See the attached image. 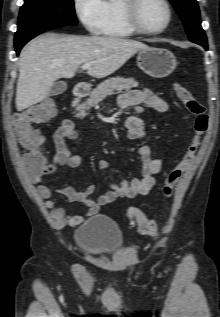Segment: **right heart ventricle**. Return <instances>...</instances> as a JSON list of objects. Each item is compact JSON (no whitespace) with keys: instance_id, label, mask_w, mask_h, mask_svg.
Segmentation results:
<instances>
[{"instance_id":"1","label":"right heart ventricle","mask_w":220,"mask_h":317,"mask_svg":"<svg viewBox=\"0 0 220 317\" xmlns=\"http://www.w3.org/2000/svg\"><path fill=\"white\" fill-rule=\"evenodd\" d=\"M122 4L123 0H101L99 34L110 38H128L136 34L125 20Z\"/></svg>"}]
</instances>
